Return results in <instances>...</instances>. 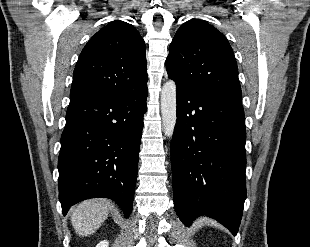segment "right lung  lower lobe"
Segmentation results:
<instances>
[{"instance_id": "1", "label": "right lung lower lobe", "mask_w": 310, "mask_h": 247, "mask_svg": "<svg viewBox=\"0 0 310 247\" xmlns=\"http://www.w3.org/2000/svg\"><path fill=\"white\" fill-rule=\"evenodd\" d=\"M147 95L145 86L69 104L58 159L63 215L79 201L106 197L129 217Z\"/></svg>"}]
</instances>
